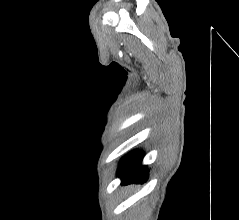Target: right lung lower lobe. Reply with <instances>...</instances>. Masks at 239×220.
Wrapping results in <instances>:
<instances>
[{
  "instance_id": "1",
  "label": "right lung lower lobe",
  "mask_w": 239,
  "mask_h": 220,
  "mask_svg": "<svg viewBox=\"0 0 239 220\" xmlns=\"http://www.w3.org/2000/svg\"><path fill=\"white\" fill-rule=\"evenodd\" d=\"M143 152L135 150L124 156L120 162L118 176L122 183H141L147 179V169L142 165Z\"/></svg>"
}]
</instances>
